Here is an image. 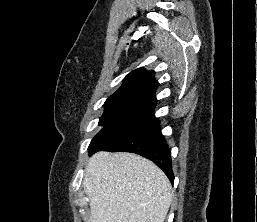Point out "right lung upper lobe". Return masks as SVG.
I'll list each match as a JSON object with an SVG mask.
<instances>
[{"instance_id": "obj_1", "label": "right lung upper lobe", "mask_w": 257, "mask_h": 222, "mask_svg": "<svg viewBox=\"0 0 257 222\" xmlns=\"http://www.w3.org/2000/svg\"><path fill=\"white\" fill-rule=\"evenodd\" d=\"M158 85L154 78V71L139 68L125 77L122 86L106 102L140 100L155 104L157 100L154 94Z\"/></svg>"}]
</instances>
